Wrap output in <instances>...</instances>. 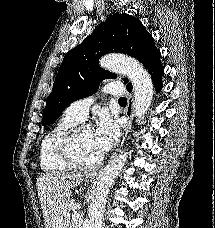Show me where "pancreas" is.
I'll list each match as a JSON object with an SVG mask.
<instances>
[{"instance_id": "obj_1", "label": "pancreas", "mask_w": 215, "mask_h": 228, "mask_svg": "<svg viewBox=\"0 0 215 228\" xmlns=\"http://www.w3.org/2000/svg\"><path fill=\"white\" fill-rule=\"evenodd\" d=\"M71 228H80V226H78L77 222H75V220H71V224H70Z\"/></svg>"}]
</instances>
